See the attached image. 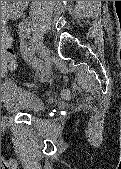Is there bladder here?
<instances>
[{
	"mask_svg": "<svg viewBox=\"0 0 121 169\" xmlns=\"http://www.w3.org/2000/svg\"><path fill=\"white\" fill-rule=\"evenodd\" d=\"M1 103L9 113L35 115L42 112L46 104L37 95L7 80L1 84Z\"/></svg>",
	"mask_w": 121,
	"mask_h": 169,
	"instance_id": "obj_1",
	"label": "bladder"
}]
</instances>
